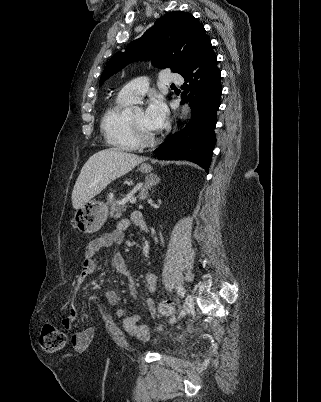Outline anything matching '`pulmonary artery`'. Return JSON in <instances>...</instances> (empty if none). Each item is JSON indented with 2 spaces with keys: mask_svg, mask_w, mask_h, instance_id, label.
I'll list each match as a JSON object with an SVG mask.
<instances>
[{
  "mask_svg": "<svg viewBox=\"0 0 321 402\" xmlns=\"http://www.w3.org/2000/svg\"><path fill=\"white\" fill-rule=\"evenodd\" d=\"M184 82L183 76L170 71H164L161 75V83L163 85L169 84H182ZM148 82L146 78H137L127 85H125L118 93L117 98L129 103L137 102L146 92Z\"/></svg>",
  "mask_w": 321,
  "mask_h": 402,
  "instance_id": "pulmonary-artery-1",
  "label": "pulmonary artery"
}]
</instances>
